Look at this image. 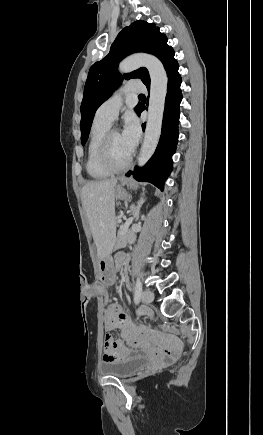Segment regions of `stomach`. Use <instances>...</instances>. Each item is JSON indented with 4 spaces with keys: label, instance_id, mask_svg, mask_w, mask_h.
<instances>
[{
    "label": "stomach",
    "instance_id": "stomach-1",
    "mask_svg": "<svg viewBox=\"0 0 263 435\" xmlns=\"http://www.w3.org/2000/svg\"><path fill=\"white\" fill-rule=\"evenodd\" d=\"M124 186H131V182L122 178L121 184L117 186L115 191V195L118 199H125L128 195ZM99 269L101 272L100 280L103 282L104 288H113V286H116V281L118 279L117 271L113 268L109 256L100 259Z\"/></svg>",
    "mask_w": 263,
    "mask_h": 435
}]
</instances>
